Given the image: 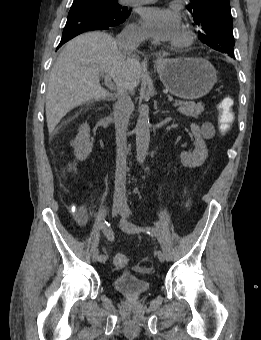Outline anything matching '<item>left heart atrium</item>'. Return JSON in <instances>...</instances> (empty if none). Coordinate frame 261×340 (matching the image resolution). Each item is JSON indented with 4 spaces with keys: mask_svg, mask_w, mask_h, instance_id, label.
Returning a JSON list of instances; mask_svg holds the SVG:
<instances>
[{
    "mask_svg": "<svg viewBox=\"0 0 261 340\" xmlns=\"http://www.w3.org/2000/svg\"><path fill=\"white\" fill-rule=\"evenodd\" d=\"M141 22L146 35L160 43L176 39L181 28L179 15L164 7L143 8Z\"/></svg>",
    "mask_w": 261,
    "mask_h": 340,
    "instance_id": "left-heart-atrium-1",
    "label": "left heart atrium"
}]
</instances>
